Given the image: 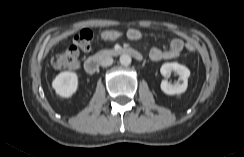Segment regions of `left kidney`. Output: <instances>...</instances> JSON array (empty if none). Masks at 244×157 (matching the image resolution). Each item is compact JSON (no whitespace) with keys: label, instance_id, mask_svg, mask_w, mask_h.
I'll return each instance as SVG.
<instances>
[{"label":"left kidney","instance_id":"left-kidney-1","mask_svg":"<svg viewBox=\"0 0 244 157\" xmlns=\"http://www.w3.org/2000/svg\"><path fill=\"white\" fill-rule=\"evenodd\" d=\"M172 71L179 75L178 82L175 85H172L167 80H163L161 82V90L168 95L182 94L187 89L190 71L186 66L176 62L164 63L160 69V72L164 77L170 75Z\"/></svg>","mask_w":244,"mask_h":157}]
</instances>
